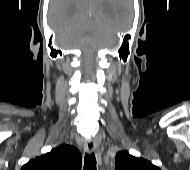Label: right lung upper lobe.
Returning <instances> with one entry per match:
<instances>
[{"label": "right lung upper lobe", "instance_id": "right-lung-upper-lobe-1", "mask_svg": "<svg viewBox=\"0 0 190 170\" xmlns=\"http://www.w3.org/2000/svg\"><path fill=\"white\" fill-rule=\"evenodd\" d=\"M81 160L77 148L62 144L49 153L30 160L21 170H81Z\"/></svg>", "mask_w": 190, "mask_h": 170}]
</instances>
